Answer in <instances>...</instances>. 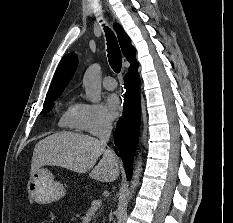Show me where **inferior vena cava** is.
<instances>
[{
  "instance_id": "inferior-vena-cava-1",
  "label": "inferior vena cava",
  "mask_w": 233,
  "mask_h": 223,
  "mask_svg": "<svg viewBox=\"0 0 233 223\" xmlns=\"http://www.w3.org/2000/svg\"><path fill=\"white\" fill-rule=\"evenodd\" d=\"M111 131H112V121H110V119H107V117H101L99 123V133H98L100 143H104V145H106L107 141H109Z\"/></svg>"
}]
</instances>
